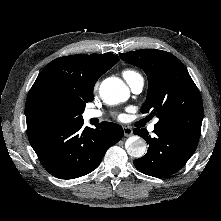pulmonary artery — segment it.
<instances>
[{"label": "pulmonary artery", "mask_w": 221, "mask_h": 221, "mask_svg": "<svg viewBox=\"0 0 221 221\" xmlns=\"http://www.w3.org/2000/svg\"><path fill=\"white\" fill-rule=\"evenodd\" d=\"M128 83H129L131 90L136 94L140 93L144 87V79L140 75ZM101 115H102L101 111L90 109L85 112L84 116L87 120H89L93 118H98ZM154 129H155V125L151 124L149 126V131H153Z\"/></svg>", "instance_id": "pulmonary-artery-1"}]
</instances>
